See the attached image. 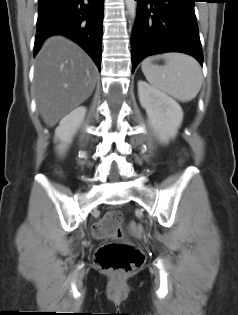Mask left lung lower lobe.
Listing matches in <instances>:
<instances>
[{"label":"left lung lower lobe","mask_w":238,"mask_h":315,"mask_svg":"<svg viewBox=\"0 0 238 315\" xmlns=\"http://www.w3.org/2000/svg\"><path fill=\"white\" fill-rule=\"evenodd\" d=\"M137 18L131 38L132 72L147 56L183 52L203 63L195 0H134Z\"/></svg>","instance_id":"left-lung-lower-lobe-1"}]
</instances>
